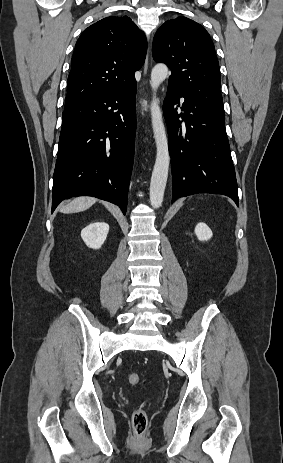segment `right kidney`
Wrapping results in <instances>:
<instances>
[{
  "label": "right kidney",
  "instance_id": "right-kidney-1",
  "mask_svg": "<svg viewBox=\"0 0 283 463\" xmlns=\"http://www.w3.org/2000/svg\"><path fill=\"white\" fill-rule=\"evenodd\" d=\"M109 225L105 222H94L81 231V238L92 249H99L105 242Z\"/></svg>",
  "mask_w": 283,
  "mask_h": 463
}]
</instances>
